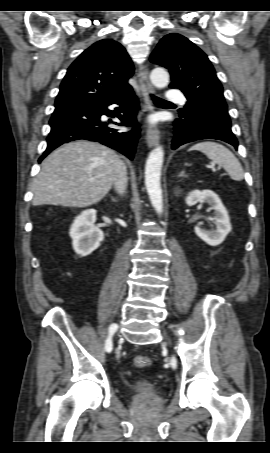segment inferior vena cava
<instances>
[{"instance_id": "inferior-vena-cava-1", "label": "inferior vena cava", "mask_w": 270, "mask_h": 453, "mask_svg": "<svg viewBox=\"0 0 270 453\" xmlns=\"http://www.w3.org/2000/svg\"><path fill=\"white\" fill-rule=\"evenodd\" d=\"M127 171L125 164L118 160L115 165L113 185L119 194H123L127 187Z\"/></svg>"}]
</instances>
